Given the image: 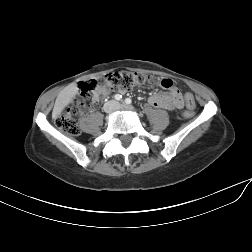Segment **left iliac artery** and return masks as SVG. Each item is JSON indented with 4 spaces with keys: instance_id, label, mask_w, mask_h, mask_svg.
<instances>
[{
    "instance_id": "44dca946",
    "label": "left iliac artery",
    "mask_w": 252,
    "mask_h": 252,
    "mask_svg": "<svg viewBox=\"0 0 252 252\" xmlns=\"http://www.w3.org/2000/svg\"><path fill=\"white\" fill-rule=\"evenodd\" d=\"M131 102H132V100L130 98L125 99V103L128 104V105L131 104Z\"/></svg>"
}]
</instances>
